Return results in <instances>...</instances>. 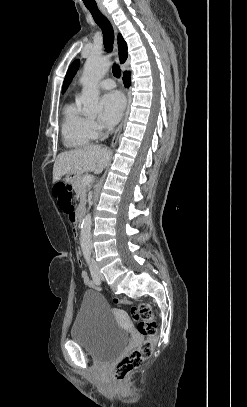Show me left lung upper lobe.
I'll use <instances>...</instances> for the list:
<instances>
[{
	"label": "left lung upper lobe",
	"mask_w": 247,
	"mask_h": 407,
	"mask_svg": "<svg viewBox=\"0 0 247 407\" xmlns=\"http://www.w3.org/2000/svg\"><path fill=\"white\" fill-rule=\"evenodd\" d=\"M78 68H79V60H75L69 67L67 74L65 76V79L63 82L62 93H64L65 90L67 89V87L69 86V84L72 81L73 77L75 76Z\"/></svg>",
	"instance_id": "5c2ea615"
}]
</instances>
